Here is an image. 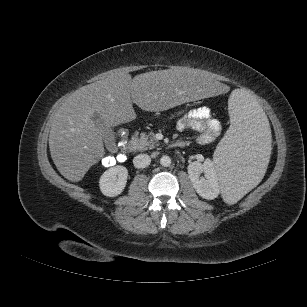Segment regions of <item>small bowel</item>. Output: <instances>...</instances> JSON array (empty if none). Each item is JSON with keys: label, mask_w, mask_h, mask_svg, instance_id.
<instances>
[{"label": "small bowel", "mask_w": 307, "mask_h": 307, "mask_svg": "<svg viewBox=\"0 0 307 307\" xmlns=\"http://www.w3.org/2000/svg\"><path fill=\"white\" fill-rule=\"evenodd\" d=\"M176 127L179 131L199 132L198 142L201 144L212 142L221 132V123L212 117L208 107L191 110L177 121Z\"/></svg>", "instance_id": "1"}]
</instances>
